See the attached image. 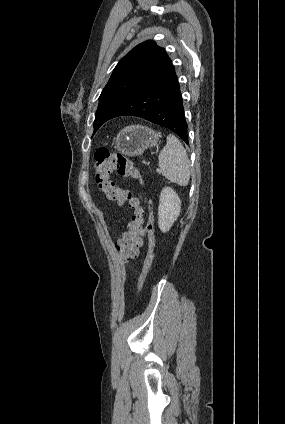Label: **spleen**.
Here are the masks:
<instances>
[{"instance_id":"spleen-1","label":"spleen","mask_w":285,"mask_h":424,"mask_svg":"<svg viewBox=\"0 0 285 424\" xmlns=\"http://www.w3.org/2000/svg\"><path fill=\"white\" fill-rule=\"evenodd\" d=\"M158 163L162 175L169 181L186 186L190 179V161L179 139L170 134L167 143L160 151Z\"/></svg>"}]
</instances>
